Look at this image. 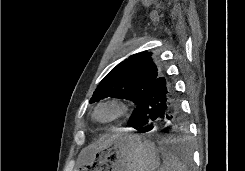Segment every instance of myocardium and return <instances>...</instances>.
<instances>
[{"instance_id":"obj_1","label":"myocardium","mask_w":245,"mask_h":171,"mask_svg":"<svg viewBox=\"0 0 245 171\" xmlns=\"http://www.w3.org/2000/svg\"><path fill=\"white\" fill-rule=\"evenodd\" d=\"M104 107L114 108L115 114L108 119H100L98 117V112L100 109H102ZM127 112H128V105L124 101H122L120 99H115V98L107 99V100L100 102L96 106L95 111H94V118L97 121L102 122V123H112V122H115V121L121 119L122 117H124Z\"/></svg>"}]
</instances>
